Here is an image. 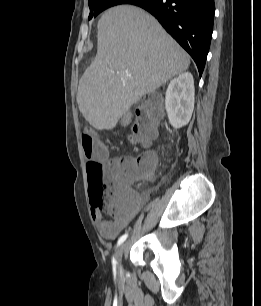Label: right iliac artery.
I'll return each instance as SVG.
<instances>
[{"instance_id": "right-iliac-artery-1", "label": "right iliac artery", "mask_w": 261, "mask_h": 306, "mask_svg": "<svg viewBox=\"0 0 261 306\" xmlns=\"http://www.w3.org/2000/svg\"><path fill=\"white\" fill-rule=\"evenodd\" d=\"M127 237H128V234H127V233H125L124 235H122V236L119 238L118 242H117V246H119L120 244H122V243L126 240ZM112 264H113L114 267H115L116 264H117V261H116V259H115L114 257H113V259H112Z\"/></svg>"}]
</instances>
